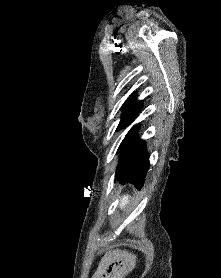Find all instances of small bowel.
Here are the masks:
<instances>
[{
	"label": "small bowel",
	"mask_w": 221,
	"mask_h": 278,
	"mask_svg": "<svg viewBox=\"0 0 221 278\" xmlns=\"http://www.w3.org/2000/svg\"><path fill=\"white\" fill-rule=\"evenodd\" d=\"M133 263L131 255L122 251L111 252L102 259L93 278H122Z\"/></svg>",
	"instance_id": "c3829d8e"
}]
</instances>
